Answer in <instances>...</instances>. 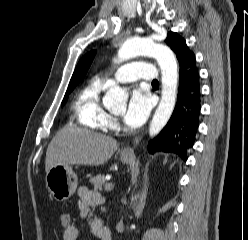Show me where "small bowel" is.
Instances as JSON below:
<instances>
[{"instance_id": "small-bowel-1", "label": "small bowel", "mask_w": 248, "mask_h": 240, "mask_svg": "<svg viewBox=\"0 0 248 240\" xmlns=\"http://www.w3.org/2000/svg\"><path fill=\"white\" fill-rule=\"evenodd\" d=\"M78 207L80 210V215L86 217L90 209L94 206H98L104 203V197L95 191L90 190L85 186L78 188ZM99 223L97 220H93V228ZM80 234V230L77 226L71 225L68 228L64 229L62 240H77Z\"/></svg>"}]
</instances>
